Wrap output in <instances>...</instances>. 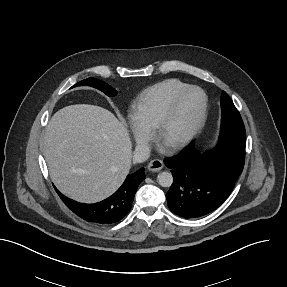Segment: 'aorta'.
I'll use <instances>...</instances> for the list:
<instances>
[{
	"label": "aorta",
	"instance_id": "aorta-1",
	"mask_svg": "<svg viewBox=\"0 0 287 287\" xmlns=\"http://www.w3.org/2000/svg\"><path fill=\"white\" fill-rule=\"evenodd\" d=\"M157 181L162 187H170L173 183V176L169 172H160Z\"/></svg>",
	"mask_w": 287,
	"mask_h": 287
}]
</instances>
